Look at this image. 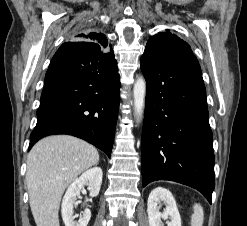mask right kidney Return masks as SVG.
<instances>
[{
    "label": "right kidney",
    "mask_w": 247,
    "mask_h": 226,
    "mask_svg": "<svg viewBox=\"0 0 247 226\" xmlns=\"http://www.w3.org/2000/svg\"><path fill=\"white\" fill-rule=\"evenodd\" d=\"M102 169L93 167L85 171L79 178L75 179L68 187L61 206L62 218L65 226H87L91 218V211L85 209L80 215L78 221H74V206L78 203L80 192L84 185L88 186L91 197H96L99 194L102 183Z\"/></svg>",
    "instance_id": "ca27d5eb"
}]
</instances>
